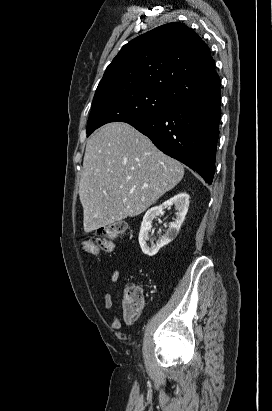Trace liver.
Wrapping results in <instances>:
<instances>
[{"label": "liver", "instance_id": "1", "mask_svg": "<svg viewBox=\"0 0 272 411\" xmlns=\"http://www.w3.org/2000/svg\"><path fill=\"white\" fill-rule=\"evenodd\" d=\"M184 176V167L128 123L99 129L86 144L79 197L86 233L143 213Z\"/></svg>", "mask_w": 272, "mask_h": 411}]
</instances>
